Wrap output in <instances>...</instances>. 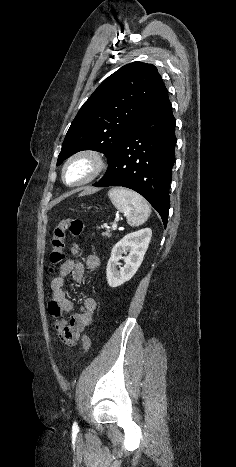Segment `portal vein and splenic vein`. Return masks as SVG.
<instances>
[{
    "label": "portal vein and splenic vein",
    "mask_w": 236,
    "mask_h": 467,
    "mask_svg": "<svg viewBox=\"0 0 236 467\" xmlns=\"http://www.w3.org/2000/svg\"><path fill=\"white\" fill-rule=\"evenodd\" d=\"M117 221H118V219H115V223L113 224L112 229H115L117 227V225H116Z\"/></svg>",
    "instance_id": "obj_1"
}]
</instances>
